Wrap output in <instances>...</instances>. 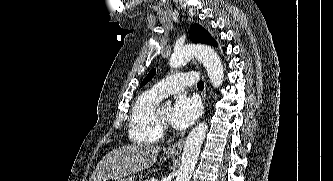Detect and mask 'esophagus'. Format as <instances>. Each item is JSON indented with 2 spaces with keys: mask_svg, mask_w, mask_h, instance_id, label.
<instances>
[{
  "mask_svg": "<svg viewBox=\"0 0 333 181\" xmlns=\"http://www.w3.org/2000/svg\"><path fill=\"white\" fill-rule=\"evenodd\" d=\"M202 98H203V102L205 104L206 101V89L204 90L203 94H202ZM185 139H181L178 142H175L171 145H169V147L167 148V153L170 155H178L181 153L183 145H184Z\"/></svg>",
  "mask_w": 333,
  "mask_h": 181,
  "instance_id": "esophagus-1",
  "label": "esophagus"
}]
</instances>
